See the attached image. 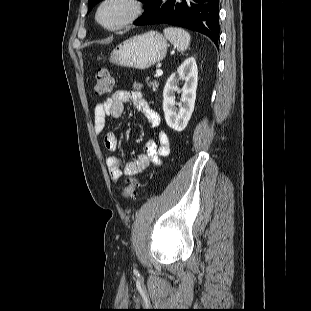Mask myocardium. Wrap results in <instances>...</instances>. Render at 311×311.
<instances>
[{
	"mask_svg": "<svg viewBox=\"0 0 311 311\" xmlns=\"http://www.w3.org/2000/svg\"><path fill=\"white\" fill-rule=\"evenodd\" d=\"M111 2H121L128 8L126 16L115 25H106L101 19V11L105 5ZM142 13V4L140 0H102L95 13L96 21L108 31H118L126 28L133 22H135Z\"/></svg>",
	"mask_w": 311,
	"mask_h": 311,
	"instance_id": "1",
	"label": "myocardium"
}]
</instances>
